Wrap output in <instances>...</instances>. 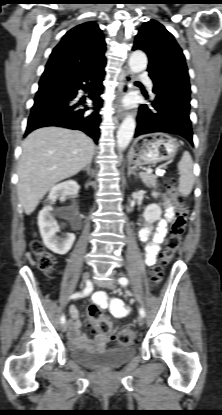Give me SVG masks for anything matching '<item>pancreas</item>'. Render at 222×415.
Instances as JSON below:
<instances>
[{
	"mask_svg": "<svg viewBox=\"0 0 222 415\" xmlns=\"http://www.w3.org/2000/svg\"><path fill=\"white\" fill-rule=\"evenodd\" d=\"M140 178L142 182L148 187H155L157 183V176L154 174L141 173Z\"/></svg>",
	"mask_w": 222,
	"mask_h": 415,
	"instance_id": "obj_1",
	"label": "pancreas"
}]
</instances>
